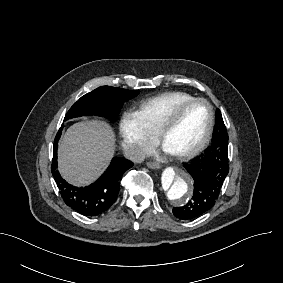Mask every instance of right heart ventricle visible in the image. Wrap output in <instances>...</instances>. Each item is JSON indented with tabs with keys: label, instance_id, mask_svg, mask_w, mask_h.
Masks as SVG:
<instances>
[{
	"label": "right heart ventricle",
	"instance_id": "right-heart-ventricle-1",
	"mask_svg": "<svg viewBox=\"0 0 283 283\" xmlns=\"http://www.w3.org/2000/svg\"><path fill=\"white\" fill-rule=\"evenodd\" d=\"M194 97L192 94L183 91L166 92L142 101L137 111L144 118L152 134L155 135L158 128V117L162 112L167 114L172 110L173 105Z\"/></svg>",
	"mask_w": 283,
	"mask_h": 283
}]
</instances>
